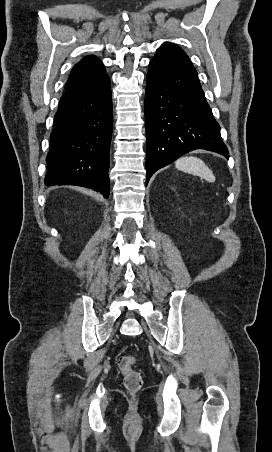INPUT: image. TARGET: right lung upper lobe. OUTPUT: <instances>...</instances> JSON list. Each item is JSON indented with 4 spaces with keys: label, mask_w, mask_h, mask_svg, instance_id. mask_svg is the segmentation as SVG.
Returning <instances> with one entry per match:
<instances>
[{
    "label": "right lung upper lobe",
    "mask_w": 272,
    "mask_h": 452,
    "mask_svg": "<svg viewBox=\"0 0 272 452\" xmlns=\"http://www.w3.org/2000/svg\"><path fill=\"white\" fill-rule=\"evenodd\" d=\"M106 76L101 60L93 55L86 56L73 67L65 91L95 84Z\"/></svg>",
    "instance_id": "obj_1"
}]
</instances>
